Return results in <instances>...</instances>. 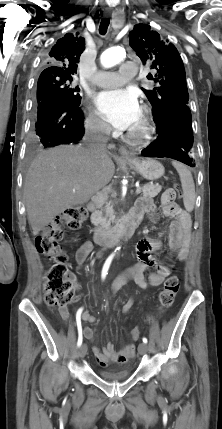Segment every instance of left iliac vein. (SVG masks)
Masks as SVG:
<instances>
[{"label": "left iliac vein", "instance_id": "obj_1", "mask_svg": "<svg viewBox=\"0 0 222 429\" xmlns=\"http://www.w3.org/2000/svg\"><path fill=\"white\" fill-rule=\"evenodd\" d=\"M138 351L141 355L148 352V345L146 343H140L138 346Z\"/></svg>", "mask_w": 222, "mask_h": 429}]
</instances>
